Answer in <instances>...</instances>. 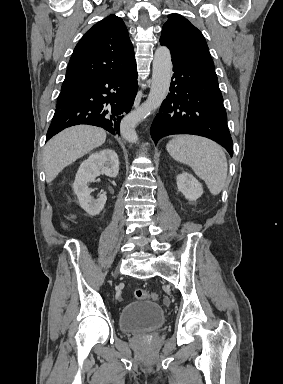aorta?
I'll list each match as a JSON object with an SVG mask.
<instances>
[{"mask_svg":"<svg viewBox=\"0 0 283 384\" xmlns=\"http://www.w3.org/2000/svg\"><path fill=\"white\" fill-rule=\"evenodd\" d=\"M172 77L171 54L167 47L155 51L152 67V84L147 100L136 110L123 118L120 124L122 137L131 143L138 141L135 127L158 107L169 92Z\"/></svg>","mask_w":283,"mask_h":384,"instance_id":"obj_1","label":"aorta"}]
</instances>
